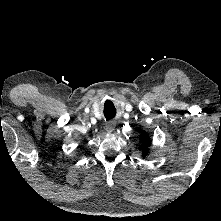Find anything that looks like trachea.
<instances>
[{
	"instance_id": "obj_1",
	"label": "trachea",
	"mask_w": 221,
	"mask_h": 221,
	"mask_svg": "<svg viewBox=\"0 0 221 221\" xmlns=\"http://www.w3.org/2000/svg\"><path fill=\"white\" fill-rule=\"evenodd\" d=\"M111 118H113V115H106V119L108 120V119H111Z\"/></svg>"
}]
</instances>
